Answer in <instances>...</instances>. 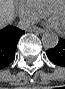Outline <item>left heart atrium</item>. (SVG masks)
I'll list each match as a JSON object with an SVG mask.
<instances>
[{
  "label": "left heart atrium",
  "instance_id": "1",
  "mask_svg": "<svg viewBox=\"0 0 65 89\" xmlns=\"http://www.w3.org/2000/svg\"><path fill=\"white\" fill-rule=\"evenodd\" d=\"M49 23L54 27H58L57 24L52 19H50Z\"/></svg>",
  "mask_w": 65,
  "mask_h": 89
}]
</instances>
